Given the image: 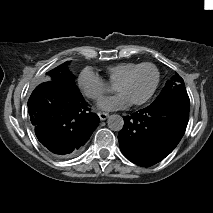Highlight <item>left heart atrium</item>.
<instances>
[{"instance_id": "left-heart-atrium-1", "label": "left heart atrium", "mask_w": 213, "mask_h": 213, "mask_svg": "<svg viewBox=\"0 0 213 213\" xmlns=\"http://www.w3.org/2000/svg\"><path fill=\"white\" fill-rule=\"evenodd\" d=\"M128 104H129V101L127 100V98L121 93H118L114 96H111L102 100L98 104V107L104 111H114V110L122 109L126 107Z\"/></svg>"}]
</instances>
